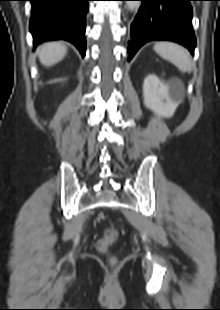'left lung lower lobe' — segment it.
<instances>
[{"label":"left lung lower lobe","instance_id":"1","mask_svg":"<svg viewBox=\"0 0 220 310\" xmlns=\"http://www.w3.org/2000/svg\"><path fill=\"white\" fill-rule=\"evenodd\" d=\"M142 4L131 25L130 61L138 49L149 41L177 42L193 54L196 46L192 27L193 0H138Z\"/></svg>","mask_w":220,"mask_h":310}]
</instances>
